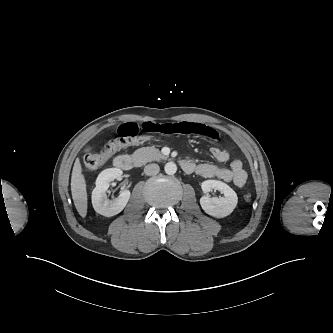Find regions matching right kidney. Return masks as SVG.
Returning <instances> with one entry per match:
<instances>
[{"mask_svg": "<svg viewBox=\"0 0 333 333\" xmlns=\"http://www.w3.org/2000/svg\"><path fill=\"white\" fill-rule=\"evenodd\" d=\"M121 175L122 171L118 168L106 169L98 175L96 187L92 191V205L97 213L111 217L120 213L128 203L131 193L127 189L121 191L114 200H109L106 194L110 182L119 179Z\"/></svg>", "mask_w": 333, "mask_h": 333, "instance_id": "1", "label": "right kidney"}]
</instances>
